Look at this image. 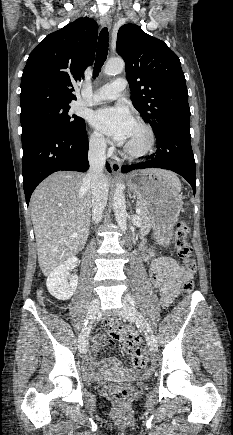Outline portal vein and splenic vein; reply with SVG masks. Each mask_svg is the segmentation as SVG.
Segmentation results:
<instances>
[{
  "label": "portal vein and splenic vein",
  "instance_id": "1",
  "mask_svg": "<svg viewBox=\"0 0 233 435\" xmlns=\"http://www.w3.org/2000/svg\"><path fill=\"white\" fill-rule=\"evenodd\" d=\"M136 213H137V214L140 213V209H139V208H137ZM77 236H78L77 233H73V234H72V237H73V238H76Z\"/></svg>",
  "mask_w": 233,
  "mask_h": 435
}]
</instances>
